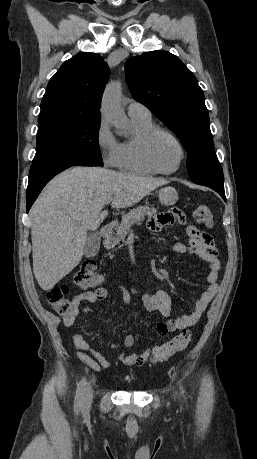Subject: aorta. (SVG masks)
Segmentation results:
<instances>
[{"label": "aorta", "instance_id": "762f6f07", "mask_svg": "<svg viewBox=\"0 0 257 459\" xmlns=\"http://www.w3.org/2000/svg\"><path fill=\"white\" fill-rule=\"evenodd\" d=\"M121 86L117 82L110 83L104 92L101 106L103 119L113 125L118 133L125 134L128 129V119L120 107Z\"/></svg>", "mask_w": 257, "mask_h": 459}]
</instances>
